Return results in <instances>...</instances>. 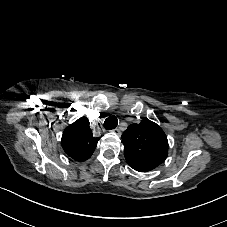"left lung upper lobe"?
Segmentation results:
<instances>
[{
	"label": "left lung upper lobe",
	"mask_w": 227,
	"mask_h": 227,
	"mask_svg": "<svg viewBox=\"0 0 227 227\" xmlns=\"http://www.w3.org/2000/svg\"><path fill=\"white\" fill-rule=\"evenodd\" d=\"M122 143L127 163L136 171L147 172L159 166L167 157L168 140L154 122L143 118L123 132Z\"/></svg>",
	"instance_id": "left-lung-upper-lobe-1"
}]
</instances>
